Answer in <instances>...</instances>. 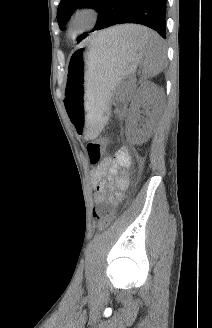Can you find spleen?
Listing matches in <instances>:
<instances>
[{
	"label": "spleen",
	"instance_id": "spleen-1",
	"mask_svg": "<svg viewBox=\"0 0 212 328\" xmlns=\"http://www.w3.org/2000/svg\"><path fill=\"white\" fill-rule=\"evenodd\" d=\"M143 53V73L146 78L159 74L165 64V47L162 39L155 32L142 27L134 26L131 40Z\"/></svg>",
	"mask_w": 212,
	"mask_h": 328
}]
</instances>
